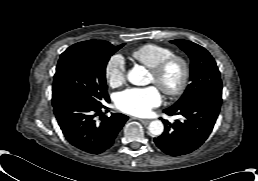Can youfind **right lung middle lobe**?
Listing matches in <instances>:
<instances>
[{"instance_id": "dd1d6c3e", "label": "right lung middle lobe", "mask_w": 258, "mask_h": 181, "mask_svg": "<svg viewBox=\"0 0 258 181\" xmlns=\"http://www.w3.org/2000/svg\"><path fill=\"white\" fill-rule=\"evenodd\" d=\"M124 44L84 41L64 51L54 75L52 100L75 98L94 106L108 100L105 78L110 57Z\"/></svg>"}]
</instances>
